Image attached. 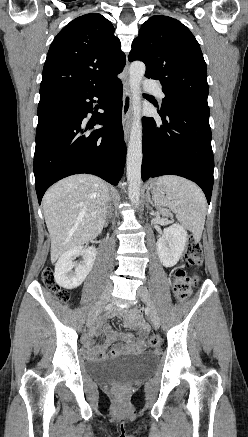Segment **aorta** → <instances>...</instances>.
<instances>
[{
    "instance_id": "aorta-1",
    "label": "aorta",
    "mask_w": 248,
    "mask_h": 437,
    "mask_svg": "<svg viewBox=\"0 0 248 437\" xmlns=\"http://www.w3.org/2000/svg\"><path fill=\"white\" fill-rule=\"evenodd\" d=\"M145 64L140 61L131 63L129 85L132 95L133 122L127 149L128 195L132 204L139 205L142 165V124H141V82L145 74Z\"/></svg>"
}]
</instances>
